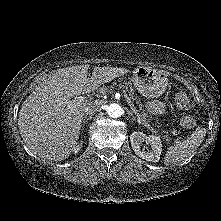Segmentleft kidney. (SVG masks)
<instances>
[{"label":"left kidney","instance_id":"left-kidney-1","mask_svg":"<svg viewBox=\"0 0 221 221\" xmlns=\"http://www.w3.org/2000/svg\"><path fill=\"white\" fill-rule=\"evenodd\" d=\"M130 141L134 152L139 157L150 162L159 161L162 152V142L160 137L155 135L147 136L142 132H133L130 135ZM144 142L150 145V149H148V151H145L144 149Z\"/></svg>","mask_w":221,"mask_h":221}]
</instances>
